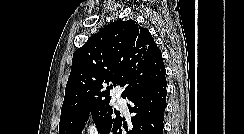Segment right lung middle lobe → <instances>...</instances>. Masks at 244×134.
<instances>
[{"label":"right lung middle lobe","mask_w":244,"mask_h":134,"mask_svg":"<svg viewBox=\"0 0 244 134\" xmlns=\"http://www.w3.org/2000/svg\"><path fill=\"white\" fill-rule=\"evenodd\" d=\"M89 113L101 134H105L108 128L120 115L117 108L109 105V101L90 107L77 116L61 119L59 134H81L84 122L88 120Z\"/></svg>","instance_id":"1"}]
</instances>
